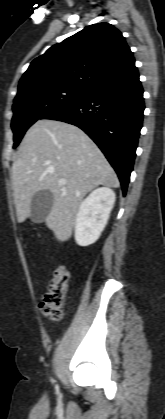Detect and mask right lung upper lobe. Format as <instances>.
Returning <instances> with one entry per match:
<instances>
[{
	"instance_id": "obj_1",
	"label": "right lung upper lobe",
	"mask_w": 165,
	"mask_h": 419,
	"mask_svg": "<svg viewBox=\"0 0 165 419\" xmlns=\"http://www.w3.org/2000/svg\"><path fill=\"white\" fill-rule=\"evenodd\" d=\"M134 64L118 29L108 23L93 24L36 58L22 76L15 99L51 87L90 92Z\"/></svg>"
}]
</instances>
